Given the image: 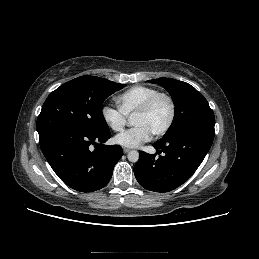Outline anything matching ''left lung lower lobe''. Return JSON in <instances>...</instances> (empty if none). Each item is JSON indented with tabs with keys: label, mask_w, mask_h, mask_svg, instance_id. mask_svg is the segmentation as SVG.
<instances>
[{
	"label": "left lung lower lobe",
	"mask_w": 259,
	"mask_h": 259,
	"mask_svg": "<svg viewBox=\"0 0 259 259\" xmlns=\"http://www.w3.org/2000/svg\"><path fill=\"white\" fill-rule=\"evenodd\" d=\"M214 135L199 130H187L161 138L153 146L156 154L139 152L134 166L138 183L147 190L169 192L186 182L208 153Z\"/></svg>",
	"instance_id": "left-lung-lower-lobe-1"
}]
</instances>
